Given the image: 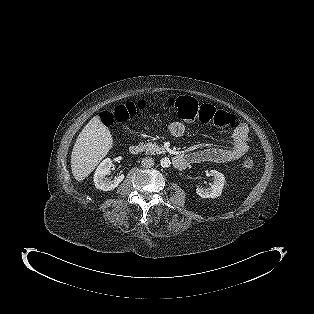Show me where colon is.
<instances>
[{"instance_id": "1", "label": "colon", "mask_w": 314, "mask_h": 314, "mask_svg": "<svg viewBox=\"0 0 314 314\" xmlns=\"http://www.w3.org/2000/svg\"><path fill=\"white\" fill-rule=\"evenodd\" d=\"M170 106L176 108L177 116L187 122L199 121L201 123L213 124L219 131L235 129L237 122L235 117L220 109H216L208 104H200L190 96H180L168 100ZM147 102L127 103L115 108L113 112L104 111L99 114V121L106 127L114 124H123L130 120L137 112L144 110ZM254 166V160L250 156L242 157L240 167L244 171H249Z\"/></svg>"}]
</instances>
